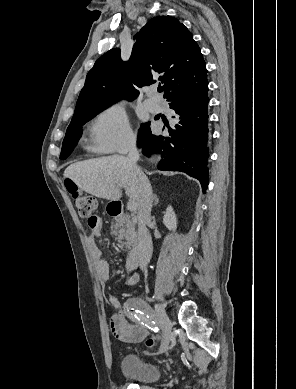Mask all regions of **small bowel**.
Segmentation results:
<instances>
[{"label": "small bowel", "mask_w": 296, "mask_h": 389, "mask_svg": "<svg viewBox=\"0 0 296 389\" xmlns=\"http://www.w3.org/2000/svg\"><path fill=\"white\" fill-rule=\"evenodd\" d=\"M91 228V233L88 238V244L90 252L94 258L96 269L98 275L102 281H108L110 278V269L108 263L102 258L101 250L99 249L96 239L99 238L102 234V222L99 217L96 219L94 225H89ZM139 282V274L131 270L128 285L134 286ZM110 302L117 309V313L113 316L111 321L112 331L119 340L129 343H139L143 341L148 335L147 329L143 325H133L127 322L125 317L120 311V303L116 297L111 296Z\"/></svg>", "instance_id": "1"}]
</instances>
